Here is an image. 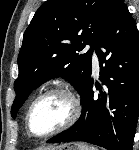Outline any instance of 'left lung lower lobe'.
Here are the masks:
<instances>
[{
	"instance_id": "obj_1",
	"label": "left lung lower lobe",
	"mask_w": 139,
	"mask_h": 150,
	"mask_svg": "<svg viewBox=\"0 0 139 150\" xmlns=\"http://www.w3.org/2000/svg\"><path fill=\"white\" fill-rule=\"evenodd\" d=\"M96 54L104 86L94 95L89 77L80 93L79 120L47 143L84 141L108 150H131L139 115V33L122 0L113 4Z\"/></svg>"
}]
</instances>
